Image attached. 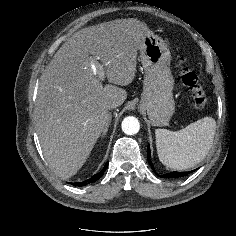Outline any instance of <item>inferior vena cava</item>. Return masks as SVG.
Returning <instances> with one entry per match:
<instances>
[{
	"mask_svg": "<svg viewBox=\"0 0 236 236\" xmlns=\"http://www.w3.org/2000/svg\"><path fill=\"white\" fill-rule=\"evenodd\" d=\"M116 107H117V104L114 103V102L109 103V104L107 105V108H108V109H112V108H116Z\"/></svg>",
	"mask_w": 236,
	"mask_h": 236,
	"instance_id": "inferior-vena-cava-1",
	"label": "inferior vena cava"
}]
</instances>
